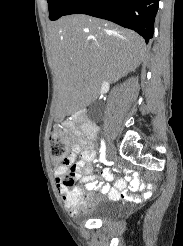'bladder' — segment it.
<instances>
[{
	"instance_id": "obj_1",
	"label": "bladder",
	"mask_w": 183,
	"mask_h": 246,
	"mask_svg": "<svg viewBox=\"0 0 183 246\" xmlns=\"http://www.w3.org/2000/svg\"><path fill=\"white\" fill-rule=\"evenodd\" d=\"M121 207L115 203L106 200H96L94 205L87 213V218L107 220L120 215Z\"/></svg>"
}]
</instances>
